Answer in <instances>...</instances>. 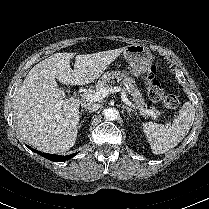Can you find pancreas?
I'll list each match as a JSON object with an SVG mask.
<instances>
[{
	"label": "pancreas",
	"instance_id": "1",
	"mask_svg": "<svg viewBox=\"0 0 209 209\" xmlns=\"http://www.w3.org/2000/svg\"><path fill=\"white\" fill-rule=\"evenodd\" d=\"M114 79H116L118 82H121L127 85L128 92L131 94L132 100L135 102L138 108H144L147 106L145 104V101L142 97L140 90L137 88L135 80L132 77H129L126 71H112V72L105 73L104 75H102L101 80H99L96 83L95 90H93V92L98 91L104 87L109 88L108 83L110 82L112 83ZM151 110L154 111V113L156 114V117L160 114V112L154 108H152Z\"/></svg>",
	"mask_w": 209,
	"mask_h": 209
}]
</instances>
